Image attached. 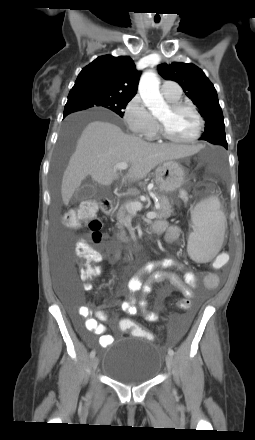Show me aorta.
Listing matches in <instances>:
<instances>
[{
    "mask_svg": "<svg viewBox=\"0 0 255 440\" xmlns=\"http://www.w3.org/2000/svg\"><path fill=\"white\" fill-rule=\"evenodd\" d=\"M160 81L153 71H146L142 74L139 82V93L145 106L157 116L168 109L159 91Z\"/></svg>",
    "mask_w": 255,
    "mask_h": 440,
    "instance_id": "1",
    "label": "aorta"
}]
</instances>
